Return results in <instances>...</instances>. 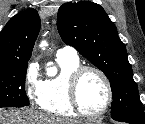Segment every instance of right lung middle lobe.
Wrapping results in <instances>:
<instances>
[{
	"label": "right lung middle lobe",
	"instance_id": "dd1d6c3e",
	"mask_svg": "<svg viewBox=\"0 0 145 124\" xmlns=\"http://www.w3.org/2000/svg\"><path fill=\"white\" fill-rule=\"evenodd\" d=\"M28 60L0 64V108L29 105L25 92Z\"/></svg>",
	"mask_w": 145,
	"mask_h": 124
}]
</instances>
